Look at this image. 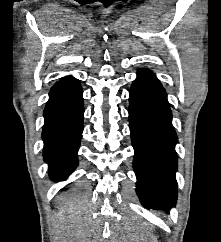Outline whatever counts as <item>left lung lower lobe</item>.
<instances>
[{
  "label": "left lung lower lobe",
  "instance_id": "left-lung-lower-lobe-1",
  "mask_svg": "<svg viewBox=\"0 0 221 242\" xmlns=\"http://www.w3.org/2000/svg\"><path fill=\"white\" fill-rule=\"evenodd\" d=\"M129 92L137 194L146 208L170 209L177 199L178 140L165 89L149 70L137 73Z\"/></svg>",
  "mask_w": 221,
  "mask_h": 242
}]
</instances>
